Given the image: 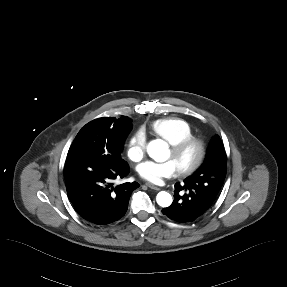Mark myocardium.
<instances>
[{
  "label": "myocardium",
  "instance_id": "myocardium-1",
  "mask_svg": "<svg viewBox=\"0 0 287 287\" xmlns=\"http://www.w3.org/2000/svg\"><path fill=\"white\" fill-rule=\"evenodd\" d=\"M189 150H195V156L191 162L178 168L181 175L192 174L202 165L206 155V146L203 140L194 136L171 145L172 156L176 159L182 157Z\"/></svg>",
  "mask_w": 287,
  "mask_h": 287
}]
</instances>
